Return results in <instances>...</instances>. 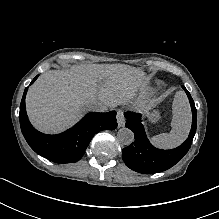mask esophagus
<instances>
[{"label": "esophagus", "mask_w": 219, "mask_h": 219, "mask_svg": "<svg viewBox=\"0 0 219 219\" xmlns=\"http://www.w3.org/2000/svg\"><path fill=\"white\" fill-rule=\"evenodd\" d=\"M117 123L118 127H123L125 124V117L122 110L117 111Z\"/></svg>", "instance_id": "obj_1"}]
</instances>
